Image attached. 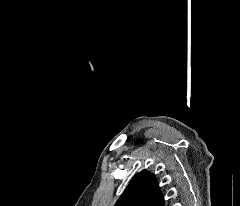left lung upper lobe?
Returning <instances> with one entry per match:
<instances>
[{"label": "left lung upper lobe", "mask_w": 240, "mask_h": 206, "mask_svg": "<svg viewBox=\"0 0 240 206\" xmlns=\"http://www.w3.org/2000/svg\"><path fill=\"white\" fill-rule=\"evenodd\" d=\"M164 202L155 175L142 171L132 178L115 206H164Z\"/></svg>", "instance_id": "5c2ea615"}]
</instances>
